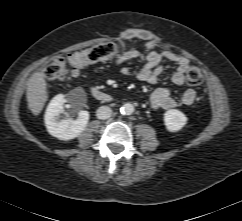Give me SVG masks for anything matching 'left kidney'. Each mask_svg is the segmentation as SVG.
<instances>
[{"instance_id":"obj_1","label":"left kidney","mask_w":242,"mask_h":221,"mask_svg":"<svg viewBox=\"0 0 242 221\" xmlns=\"http://www.w3.org/2000/svg\"><path fill=\"white\" fill-rule=\"evenodd\" d=\"M187 121L186 115L177 109H170L164 113V124L170 132L181 130Z\"/></svg>"}]
</instances>
